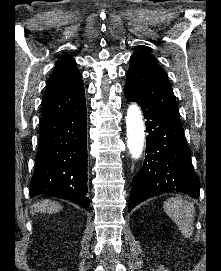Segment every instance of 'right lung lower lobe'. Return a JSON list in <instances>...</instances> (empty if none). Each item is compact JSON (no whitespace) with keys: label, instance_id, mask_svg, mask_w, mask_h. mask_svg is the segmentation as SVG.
Returning <instances> with one entry per match:
<instances>
[{"label":"right lung lower lobe","instance_id":"98d812e1","mask_svg":"<svg viewBox=\"0 0 221 271\" xmlns=\"http://www.w3.org/2000/svg\"><path fill=\"white\" fill-rule=\"evenodd\" d=\"M87 112L78 108L41 119L30 197L47 193L89 207L87 195Z\"/></svg>","mask_w":221,"mask_h":271}]
</instances>
